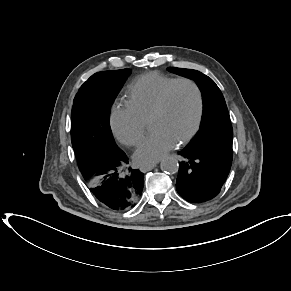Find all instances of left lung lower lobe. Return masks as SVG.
Instances as JSON below:
<instances>
[{"instance_id":"0a47b994","label":"left lung lower lobe","mask_w":291,"mask_h":291,"mask_svg":"<svg viewBox=\"0 0 291 291\" xmlns=\"http://www.w3.org/2000/svg\"><path fill=\"white\" fill-rule=\"evenodd\" d=\"M176 181L178 194L190 203L215 198L229 174L232 158L198 149L184 148Z\"/></svg>"}]
</instances>
